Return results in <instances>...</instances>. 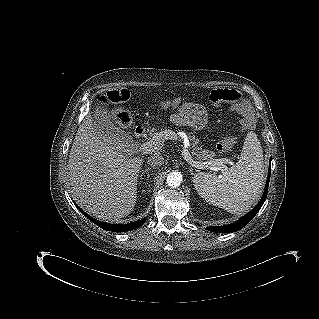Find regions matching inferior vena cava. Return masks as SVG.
Here are the masks:
<instances>
[{"label": "inferior vena cava", "mask_w": 319, "mask_h": 319, "mask_svg": "<svg viewBox=\"0 0 319 319\" xmlns=\"http://www.w3.org/2000/svg\"><path fill=\"white\" fill-rule=\"evenodd\" d=\"M147 163L153 168L160 167L164 163V158L160 154H154L148 157Z\"/></svg>", "instance_id": "obj_1"}]
</instances>
